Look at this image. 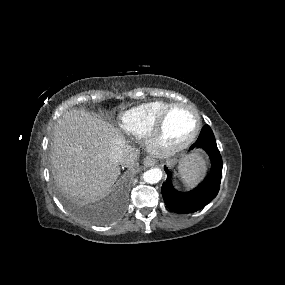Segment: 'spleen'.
<instances>
[{
    "mask_svg": "<svg viewBox=\"0 0 285 285\" xmlns=\"http://www.w3.org/2000/svg\"><path fill=\"white\" fill-rule=\"evenodd\" d=\"M205 170V160L199 154L190 155L180 166L179 174L188 185H194L199 181Z\"/></svg>",
    "mask_w": 285,
    "mask_h": 285,
    "instance_id": "spleen-1",
    "label": "spleen"
}]
</instances>
